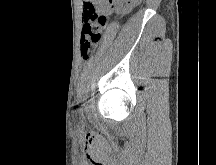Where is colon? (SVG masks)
Here are the masks:
<instances>
[{"mask_svg":"<svg viewBox=\"0 0 216 165\" xmlns=\"http://www.w3.org/2000/svg\"><path fill=\"white\" fill-rule=\"evenodd\" d=\"M118 0H111V6H116ZM84 24L81 37V55L88 59L100 42L102 32L108 23V16L98 14L96 10H83Z\"/></svg>","mask_w":216,"mask_h":165,"instance_id":"colon-1","label":"colon"}]
</instances>
